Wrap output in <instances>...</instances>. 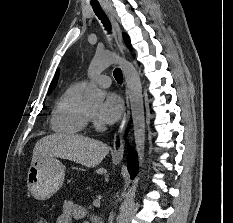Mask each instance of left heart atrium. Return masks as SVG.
Returning a JSON list of instances; mask_svg holds the SVG:
<instances>
[{"label":"left heart atrium","mask_w":233,"mask_h":223,"mask_svg":"<svg viewBox=\"0 0 233 223\" xmlns=\"http://www.w3.org/2000/svg\"><path fill=\"white\" fill-rule=\"evenodd\" d=\"M123 109L122 99L118 95L111 93L100 107L98 115L102 121L113 124L120 119L123 114Z\"/></svg>","instance_id":"1"}]
</instances>
